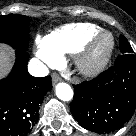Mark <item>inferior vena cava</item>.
<instances>
[{
	"mask_svg": "<svg viewBox=\"0 0 136 136\" xmlns=\"http://www.w3.org/2000/svg\"><path fill=\"white\" fill-rule=\"evenodd\" d=\"M28 71L32 76L35 77H44L49 73L48 67L36 58L30 60L28 64Z\"/></svg>",
	"mask_w": 136,
	"mask_h": 136,
	"instance_id": "obj_1",
	"label": "inferior vena cava"
}]
</instances>
